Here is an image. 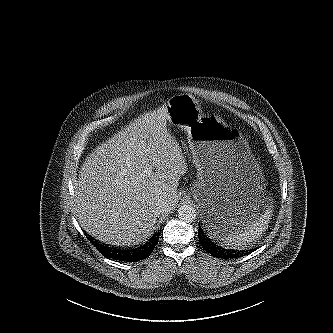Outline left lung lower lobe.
Returning a JSON list of instances; mask_svg holds the SVG:
<instances>
[{
    "mask_svg": "<svg viewBox=\"0 0 333 333\" xmlns=\"http://www.w3.org/2000/svg\"><path fill=\"white\" fill-rule=\"evenodd\" d=\"M198 237L203 248L207 252L212 254L214 257L229 259V258H238L245 254L244 251H237V250L235 251L231 249H226L223 246L219 245V243H217L216 240H214L209 235L207 230L200 224L198 227Z\"/></svg>",
    "mask_w": 333,
    "mask_h": 333,
    "instance_id": "0a47b994",
    "label": "left lung lower lobe"
}]
</instances>
